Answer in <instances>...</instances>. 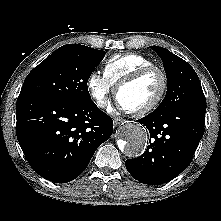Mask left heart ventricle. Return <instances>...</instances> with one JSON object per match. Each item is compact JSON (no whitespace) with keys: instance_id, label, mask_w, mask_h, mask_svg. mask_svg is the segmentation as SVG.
<instances>
[{"instance_id":"1","label":"left heart ventricle","mask_w":221,"mask_h":221,"mask_svg":"<svg viewBox=\"0 0 221 221\" xmlns=\"http://www.w3.org/2000/svg\"><path fill=\"white\" fill-rule=\"evenodd\" d=\"M162 80L160 74L153 71L137 82L123 88L118 101L127 109H137L151 103L161 90Z\"/></svg>"}]
</instances>
